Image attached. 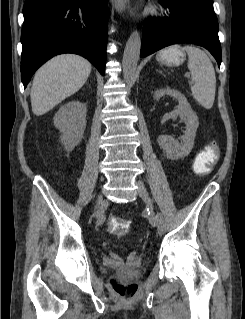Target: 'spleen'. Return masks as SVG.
<instances>
[{"instance_id":"obj_1","label":"spleen","mask_w":245,"mask_h":319,"mask_svg":"<svg viewBox=\"0 0 245 319\" xmlns=\"http://www.w3.org/2000/svg\"><path fill=\"white\" fill-rule=\"evenodd\" d=\"M188 69L191 71V92L194 99L205 109H211L215 99L216 76L208 55L202 49L187 45Z\"/></svg>"}]
</instances>
